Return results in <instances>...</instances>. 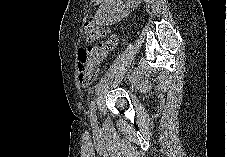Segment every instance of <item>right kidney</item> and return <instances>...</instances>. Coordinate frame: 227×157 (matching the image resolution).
I'll list each match as a JSON object with an SVG mask.
<instances>
[{
	"mask_svg": "<svg viewBox=\"0 0 227 157\" xmlns=\"http://www.w3.org/2000/svg\"><path fill=\"white\" fill-rule=\"evenodd\" d=\"M121 3L122 1H106L97 11V21L108 25L124 18L128 14V9Z\"/></svg>",
	"mask_w": 227,
	"mask_h": 157,
	"instance_id": "obj_1",
	"label": "right kidney"
}]
</instances>
